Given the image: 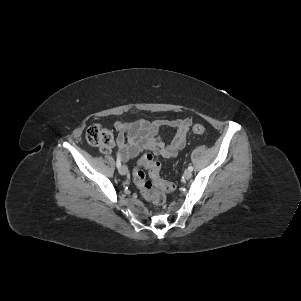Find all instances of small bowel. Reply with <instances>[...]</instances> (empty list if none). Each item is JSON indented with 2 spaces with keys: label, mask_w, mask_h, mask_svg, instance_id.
I'll return each instance as SVG.
<instances>
[{
  "label": "small bowel",
  "mask_w": 301,
  "mask_h": 301,
  "mask_svg": "<svg viewBox=\"0 0 301 301\" xmlns=\"http://www.w3.org/2000/svg\"><path fill=\"white\" fill-rule=\"evenodd\" d=\"M191 124L190 117L153 122L140 119L130 124L117 121L114 127L117 131L118 154L124 162L145 151L162 158H172L185 146ZM164 127L175 130V135L169 143L163 142L160 137V130Z\"/></svg>",
  "instance_id": "1"
}]
</instances>
